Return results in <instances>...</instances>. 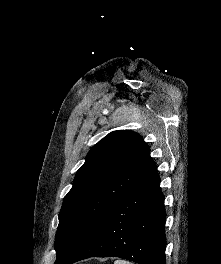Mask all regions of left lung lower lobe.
<instances>
[{
    "instance_id": "1",
    "label": "left lung lower lobe",
    "mask_w": 221,
    "mask_h": 264,
    "mask_svg": "<svg viewBox=\"0 0 221 264\" xmlns=\"http://www.w3.org/2000/svg\"><path fill=\"white\" fill-rule=\"evenodd\" d=\"M155 168L67 256L54 264L90 257H120L138 264H166L164 197Z\"/></svg>"
}]
</instances>
